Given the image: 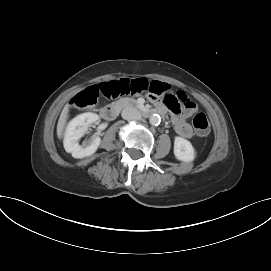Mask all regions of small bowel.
<instances>
[{"label":"small bowel","mask_w":271,"mask_h":271,"mask_svg":"<svg viewBox=\"0 0 271 271\" xmlns=\"http://www.w3.org/2000/svg\"><path fill=\"white\" fill-rule=\"evenodd\" d=\"M168 83L166 80H152L151 86L148 87L149 99L157 104L158 106L162 105L160 99L154 97L153 95H165L166 88ZM173 122L176 132L183 138H191L193 131L191 126L184 120L181 115H174Z\"/></svg>","instance_id":"obj_1"}]
</instances>
